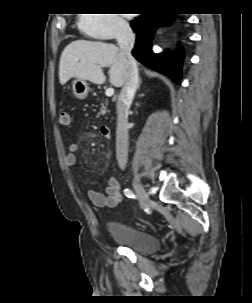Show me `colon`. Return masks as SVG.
Wrapping results in <instances>:
<instances>
[{
    "label": "colon",
    "mask_w": 252,
    "mask_h": 303,
    "mask_svg": "<svg viewBox=\"0 0 252 303\" xmlns=\"http://www.w3.org/2000/svg\"><path fill=\"white\" fill-rule=\"evenodd\" d=\"M60 122L63 126H69L71 124V116L69 112L63 111L60 114Z\"/></svg>",
    "instance_id": "1"
}]
</instances>
